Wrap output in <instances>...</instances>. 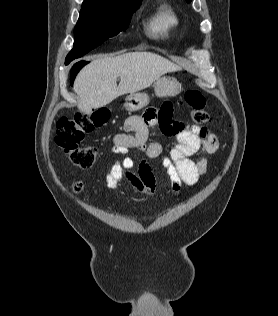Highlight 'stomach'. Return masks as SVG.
Here are the masks:
<instances>
[{
    "label": "stomach",
    "instance_id": "1",
    "mask_svg": "<svg viewBox=\"0 0 278 316\" xmlns=\"http://www.w3.org/2000/svg\"><path fill=\"white\" fill-rule=\"evenodd\" d=\"M181 85L174 77H160L154 83V91L157 97H172L179 93ZM149 103L146 93H131L126 96L124 107L128 111H138Z\"/></svg>",
    "mask_w": 278,
    "mask_h": 316
}]
</instances>
